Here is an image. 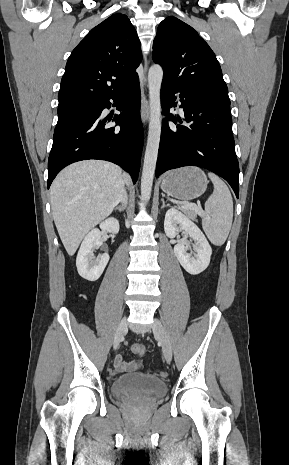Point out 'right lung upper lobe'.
I'll use <instances>...</instances> for the list:
<instances>
[{
    "label": "right lung upper lobe",
    "mask_w": 289,
    "mask_h": 465,
    "mask_svg": "<svg viewBox=\"0 0 289 465\" xmlns=\"http://www.w3.org/2000/svg\"><path fill=\"white\" fill-rule=\"evenodd\" d=\"M140 41L126 15L116 13L94 27L73 50L58 94L59 105L98 101L138 78Z\"/></svg>",
    "instance_id": "obj_1"
}]
</instances>
